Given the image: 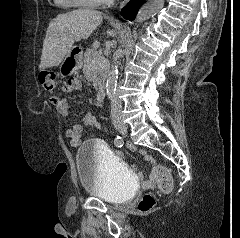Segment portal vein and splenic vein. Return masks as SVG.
Returning <instances> with one entry per match:
<instances>
[{"label": "portal vein and splenic vein", "instance_id": "obj_1", "mask_svg": "<svg viewBox=\"0 0 240 238\" xmlns=\"http://www.w3.org/2000/svg\"><path fill=\"white\" fill-rule=\"evenodd\" d=\"M96 62H97V63H101V59L98 58V59L96 60Z\"/></svg>", "mask_w": 240, "mask_h": 238}]
</instances>
